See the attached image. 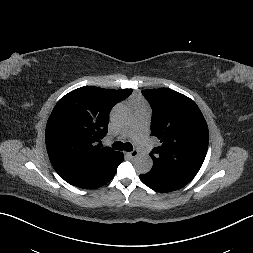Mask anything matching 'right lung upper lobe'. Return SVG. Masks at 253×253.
<instances>
[{
    "label": "right lung upper lobe",
    "mask_w": 253,
    "mask_h": 253,
    "mask_svg": "<svg viewBox=\"0 0 253 253\" xmlns=\"http://www.w3.org/2000/svg\"><path fill=\"white\" fill-rule=\"evenodd\" d=\"M132 91L86 86L58 101L47 121L45 140L49 159L66 182L93 186L115 163L119 152L95 142L107 133L110 109Z\"/></svg>",
    "instance_id": "cb5924a9"
}]
</instances>
